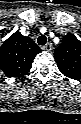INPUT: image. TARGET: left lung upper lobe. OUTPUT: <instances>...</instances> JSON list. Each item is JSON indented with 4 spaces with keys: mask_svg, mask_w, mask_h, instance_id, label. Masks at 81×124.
Instances as JSON below:
<instances>
[{
    "mask_svg": "<svg viewBox=\"0 0 81 124\" xmlns=\"http://www.w3.org/2000/svg\"><path fill=\"white\" fill-rule=\"evenodd\" d=\"M54 59L62 74L68 78H81V41L74 34L64 36L55 49Z\"/></svg>",
    "mask_w": 81,
    "mask_h": 124,
    "instance_id": "obj_1",
    "label": "left lung upper lobe"
}]
</instances>
